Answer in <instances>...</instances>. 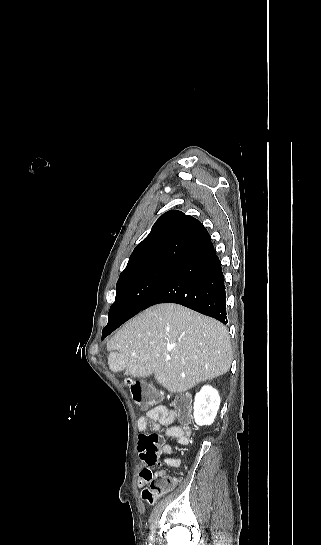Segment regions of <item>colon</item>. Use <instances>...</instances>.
Returning a JSON list of instances; mask_svg holds the SVG:
<instances>
[{
    "label": "colon",
    "instance_id": "colon-1",
    "mask_svg": "<svg viewBox=\"0 0 321 545\" xmlns=\"http://www.w3.org/2000/svg\"><path fill=\"white\" fill-rule=\"evenodd\" d=\"M126 383L133 401L140 409L147 410L158 401V393L150 384L132 379H127ZM176 406L182 411L184 419L187 420V401L185 399H180L176 402ZM159 441L160 438L157 434L141 435L139 450L147 460L156 459ZM177 483V479L169 475H152L149 479L148 487L142 491V498L149 503H153L160 496L172 490Z\"/></svg>",
    "mask_w": 321,
    "mask_h": 545
}]
</instances>
